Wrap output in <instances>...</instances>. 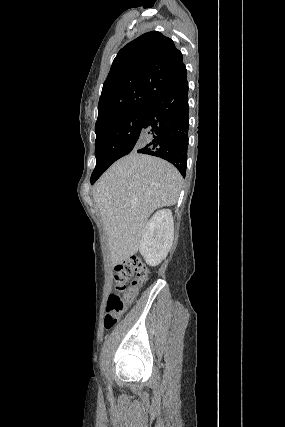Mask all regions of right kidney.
I'll return each instance as SVG.
<instances>
[{"label": "right kidney", "mask_w": 285, "mask_h": 427, "mask_svg": "<svg viewBox=\"0 0 285 427\" xmlns=\"http://www.w3.org/2000/svg\"><path fill=\"white\" fill-rule=\"evenodd\" d=\"M174 237V222L169 209L157 211L147 222L140 241V253L150 266L158 265L168 254Z\"/></svg>", "instance_id": "ca27d5eb"}]
</instances>
